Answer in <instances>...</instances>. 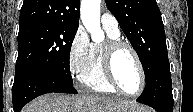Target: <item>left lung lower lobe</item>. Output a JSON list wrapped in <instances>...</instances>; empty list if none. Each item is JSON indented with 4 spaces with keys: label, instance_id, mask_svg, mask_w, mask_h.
<instances>
[{
    "label": "left lung lower lobe",
    "instance_id": "left-lung-lower-lobe-1",
    "mask_svg": "<svg viewBox=\"0 0 193 112\" xmlns=\"http://www.w3.org/2000/svg\"><path fill=\"white\" fill-rule=\"evenodd\" d=\"M137 102L151 106L157 112H173L172 82L168 55L163 57L146 80Z\"/></svg>",
    "mask_w": 193,
    "mask_h": 112
}]
</instances>
